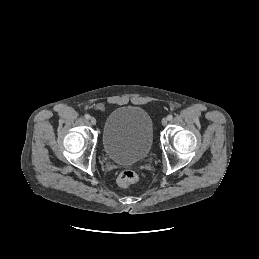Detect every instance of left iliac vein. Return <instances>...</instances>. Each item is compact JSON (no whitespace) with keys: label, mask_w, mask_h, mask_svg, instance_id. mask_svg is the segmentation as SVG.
<instances>
[{"label":"left iliac vein","mask_w":259,"mask_h":259,"mask_svg":"<svg viewBox=\"0 0 259 259\" xmlns=\"http://www.w3.org/2000/svg\"><path fill=\"white\" fill-rule=\"evenodd\" d=\"M161 123H162L163 126L167 125L168 119L167 118H163Z\"/></svg>","instance_id":"left-iliac-vein-1"}]
</instances>
